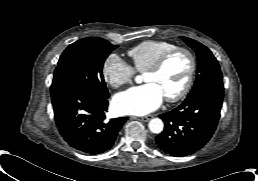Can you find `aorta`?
Returning <instances> with one entry per match:
<instances>
[{"instance_id": "obj_1", "label": "aorta", "mask_w": 258, "mask_h": 181, "mask_svg": "<svg viewBox=\"0 0 258 181\" xmlns=\"http://www.w3.org/2000/svg\"><path fill=\"white\" fill-rule=\"evenodd\" d=\"M149 130L153 133H161L164 128L163 121L159 118H153L150 120L148 124Z\"/></svg>"}]
</instances>
